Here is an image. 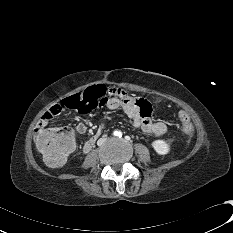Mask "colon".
I'll return each instance as SVG.
<instances>
[{
    "label": "colon",
    "mask_w": 233,
    "mask_h": 233,
    "mask_svg": "<svg viewBox=\"0 0 233 233\" xmlns=\"http://www.w3.org/2000/svg\"><path fill=\"white\" fill-rule=\"evenodd\" d=\"M109 91L104 85L96 84L81 93L63 101L67 109L88 112L98 105L101 97ZM176 119L181 122L182 132L191 136L194 126L185 110H176ZM74 132L72 129H40L35 135V144L44 160L52 166L62 165L74 148Z\"/></svg>",
    "instance_id": "obj_1"
}]
</instances>
